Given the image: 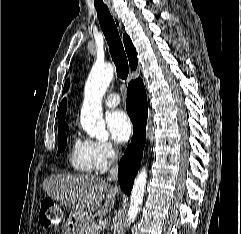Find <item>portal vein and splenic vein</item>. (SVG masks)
Instances as JSON below:
<instances>
[{
  "label": "portal vein and splenic vein",
  "mask_w": 241,
  "mask_h": 234,
  "mask_svg": "<svg viewBox=\"0 0 241 234\" xmlns=\"http://www.w3.org/2000/svg\"><path fill=\"white\" fill-rule=\"evenodd\" d=\"M97 229H100V227L99 226H94V228L92 229V231H96Z\"/></svg>",
  "instance_id": "portal-vein-and-splenic-vein-1"
}]
</instances>
